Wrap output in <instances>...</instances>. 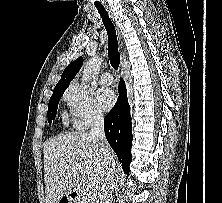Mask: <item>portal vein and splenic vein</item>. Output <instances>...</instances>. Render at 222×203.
I'll list each match as a JSON object with an SVG mask.
<instances>
[{
    "mask_svg": "<svg viewBox=\"0 0 222 203\" xmlns=\"http://www.w3.org/2000/svg\"><path fill=\"white\" fill-rule=\"evenodd\" d=\"M78 170H79V172H82V168L81 167H79ZM81 183H82L84 189H86V190H90L91 189V184L89 182L82 181Z\"/></svg>",
    "mask_w": 222,
    "mask_h": 203,
    "instance_id": "18ae733b",
    "label": "portal vein and splenic vein"
}]
</instances>
